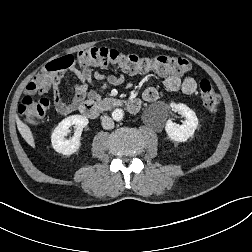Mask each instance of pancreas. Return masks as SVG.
I'll return each mask as SVG.
<instances>
[{"mask_svg":"<svg viewBox=\"0 0 252 252\" xmlns=\"http://www.w3.org/2000/svg\"><path fill=\"white\" fill-rule=\"evenodd\" d=\"M117 103H118V100L114 98H104V99L97 100V105L101 111L109 110Z\"/></svg>","mask_w":252,"mask_h":252,"instance_id":"cf45deb5","label":"pancreas"}]
</instances>
